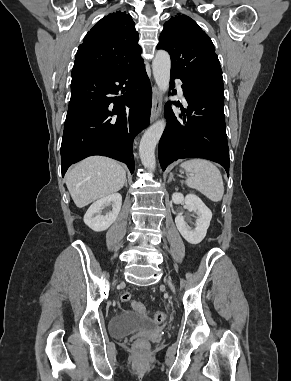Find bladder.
Masks as SVG:
<instances>
[{"instance_id":"obj_1","label":"bladder","mask_w":291,"mask_h":381,"mask_svg":"<svg viewBox=\"0 0 291 381\" xmlns=\"http://www.w3.org/2000/svg\"><path fill=\"white\" fill-rule=\"evenodd\" d=\"M154 323L142 314L120 312L114 314L109 322V332L114 337H125L141 330L154 328Z\"/></svg>"}]
</instances>
